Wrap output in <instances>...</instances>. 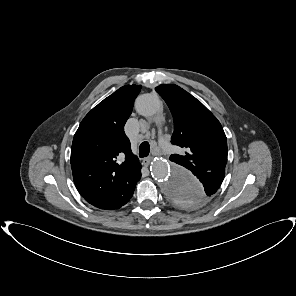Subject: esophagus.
<instances>
[{
  "label": "esophagus",
  "instance_id": "34e87169",
  "mask_svg": "<svg viewBox=\"0 0 296 296\" xmlns=\"http://www.w3.org/2000/svg\"><path fill=\"white\" fill-rule=\"evenodd\" d=\"M151 161H152V157H151V156L146 157V158L143 159V164H144L145 166H148V165L150 164Z\"/></svg>",
  "mask_w": 296,
  "mask_h": 296
}]
</instances>
